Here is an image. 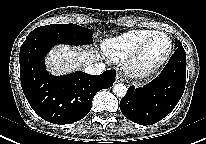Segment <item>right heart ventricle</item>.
<instances>
[{
	"mask_svg": "<svg viewBox=\"0 0 206 144\" xmlns=\"http://www.w3.org/2000/svg\"><path fill=\"white\" fill-rule=\"evenodd\" d=\"M157 31L151 29L130 30L106 39L103 43L105 55L112 61L127 59L149 36Z\"/></svg>",
	"mask_w": 206,
	"mask_h": 144,
	"instance_id": "right-heart-ventricle-1",
	"label": "right heart ventricle"
}]
</instances>
